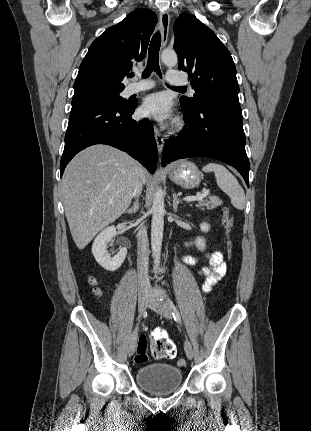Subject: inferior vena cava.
<instances>
[{
  "label": "inferior vena cava",
  "instance_id": "1",
  "mask_svg": "<svg viewBox=\"0 0 311 431\" xmlns=\"http://www.w3.org/2000/svg\"><path fill=\"white\" fill-rule=\"evenodd\" d=\"M142 182L137 184L133 196L137 198L142 192ZM149 247L146 227H140L137 233V271H138V292L144 295L149 291L150 281L148 275Z\"/></svg>",
  "mask_w": 311,
  "mask_h": 431
}]
</instances>
